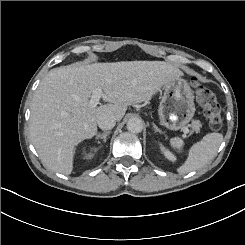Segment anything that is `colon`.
Instances as JSON below:
<instances>
[{"label":"colon","instance_id":"colon-1","mask_svg":"<svg viewBox=\"0 0 245 245\" xmlns=\"http://www.w3.org/2000/svg\"><path fill=\"white\" fill-rule=\"evenodd\" d=\"M194 91L198 102L204 109L210 127L215 130L219 129L223 122L222 111L214 92L198 81H194Z\"/></svg>","mask_w":245,"mask_h":245}]
</instances>
